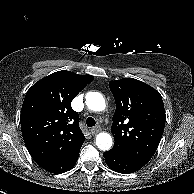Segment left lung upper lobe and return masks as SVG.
<instances>
[{
	"instance_id": "1",
	"label": "left lung upper lobe",
	"mask_w": 194,
	"mask_h": 194,
	"mask_svg": "<svg viewBox=\"0 0 194 194\" xmlns=\"http://www.w3.org/2000/svg\"><path fill=\"white\" fill-rule=\"evenodd\" d=\"M116 110L111 127L115 138L111 149L147 164L154 155L165 127V110L158 91L134 78L110 81Z\"/></svg>"
}]
</instances>
